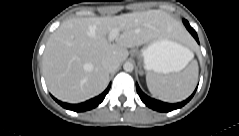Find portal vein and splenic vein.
Here are the masks:
<instances>
[{"instance_id":"1","label":"portal vein and splenic vein","mask_w":239,"mask_h":136,"mask_svg":"<svg viewBox=\"0 0 239 136\" xmlns=\"http://www.w3.org/2000/svg\"><path fill=\"white\" fill-rule=\"evenodd\" d=\"M120 30L118 28H113L109 35H108V40L111 42L113 41L116 37L119 36Z\"/></svg>"}]
</instances>
